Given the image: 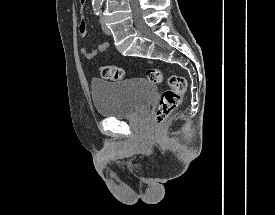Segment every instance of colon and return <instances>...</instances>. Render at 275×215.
Listing matches in <instances>:
<instances>
[{
  "mask_svg": "<svg viewBox=\"0 0 275 215\" xmlns=\"http://www.w3.org/2000/svg\"><path fill=\"white\" fill-rule=\"evenodd\" d=\"M81 1L83 2V0ZM123 74V69L118 66L105 65L101 67V75L106 79L121 80ZM147 79L158 84L163 80V73L157 68L148 69ZM186 87V80L182 76L170 75L167 78V89L162 92L154 115L157 123L164 122L179 105L186 91Z\"/></svg>",
  "mask_w": 275,
  "mask_h": 215,
  "instance_id": "colon-1",
  "label": "colon"
}]
</instances>
